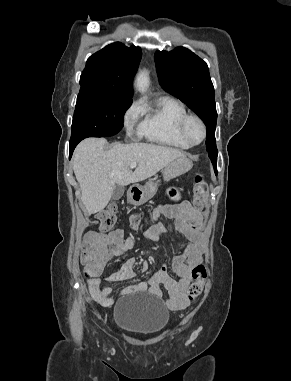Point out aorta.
Returning <instances> with one entry per match:
<instances>
[{
  "mask_svg": "<svg viewBox=\"0 0 291 381\" xmlns=\"http://www.w3.org/2000/svg\"><path fill=\"white\" fill-rule=\"evenodd\" d=\"M136 87L137 89L144 93L149 87V73L147 70H142L140 73H138L136 77Z\"/></svg>",
  "mask_w": 291,
  "mask_h": 381,
  "instance_id": "1",
  "label": "aorta"
}]
</instances>
